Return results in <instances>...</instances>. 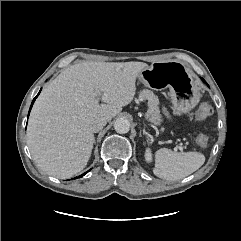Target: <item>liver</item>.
I'll return each mask as SVG.
<instances>
[{
	"mask_svg": "<svg viewBox=\"0 0 241 241\" xmlns=\"http://www.w3.org/2000/svg\"><path fill=\"white\" fill-rule=\"evenodd\" d=\"M147 67L143 62H83L63 70L30 114L27 141L37 166L60 179L82 171L93 148V121H110L131 103L136 78Z\"/></svg>",
	"mask_w": 241,
	"mask_h": 241,
	"instance_id": "1",
	"label": "liver"
}]
</instances>
